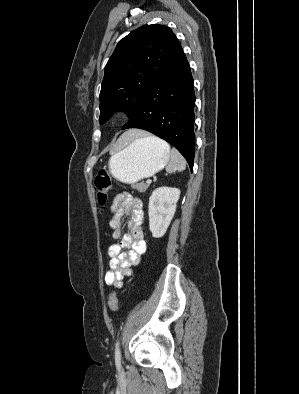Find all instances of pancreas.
<instances>
[{
	"instance_id": "cf45deb5",
	"label": "pancreas",
	"mask_w": 299,
	"mask_h": 394,
	"mask_svg": "<svg viewBox=\"0 0 299 394\" xmlns=\"http://www.w3.org/2000/svg\"><path fill=\"white\" fill-rule=\"evenodd\" d=\"M149 187V184L146 183H137L133 185V188L139 192H145Z\"/></svg>"
}]
</instances>
